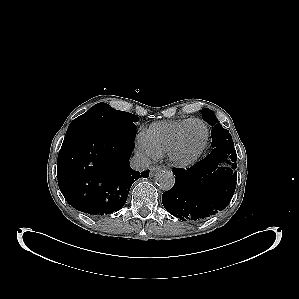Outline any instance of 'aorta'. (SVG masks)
<instances>
[{"instance_id":"obj_1","label":"aorta","mask_w":299,"mask_h":299,"mask_svg":"<svg viewBox=\"0 0 299 299\" xmlns=\"http://www.w3.org/2000/svg\"><path fill=\"white\" fill-rule=\"evenodd\" d=\"M157 185L164 191L170 190L175 183V176L169 170H161L155 176Z\"/></svg>"}]
</instances>
